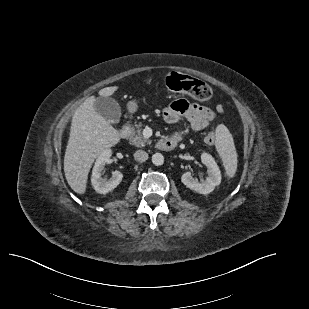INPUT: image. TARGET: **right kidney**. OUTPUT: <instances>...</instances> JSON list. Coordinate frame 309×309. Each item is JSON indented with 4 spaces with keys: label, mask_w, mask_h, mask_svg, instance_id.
<instances>
[{
    "label": "right kidney",
    "mask_w": 309,
    "mask_h": 309,
    "mask_svg": "<svg viewBox=\"0 0 309 309\" xmlns=\"http://www.w3.org/2000/svg\"><path fill=\"white\" fill-rule=\"evenodd\" d=\"M111 150L107 149L103 151L97 158L93 171L91 183L95 191L100 194H106L115 189L122 181L123 174L120 171H113L110 179H104L101 177L105 164L111 157Z\"/></svg>",
    "instance_id": "obj_1"
}]
</instances>
